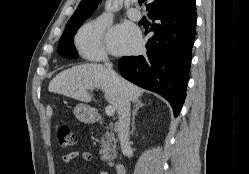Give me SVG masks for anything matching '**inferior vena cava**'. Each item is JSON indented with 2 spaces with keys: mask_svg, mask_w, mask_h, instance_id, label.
<instances>
[{
  "mask_svg": "<svg viewBox=\"0 0 249 174\" xmlns=\"http://www.w3.org/2000/svg\"><path fill=\"white\" fill-rule=\"evenodd\" d=\"M104 65L110 72L113 82L118 88L119 105L117 110L118 111L117 131H118V138L120 140L122 152L124 155H126L130 149L129 145L130 102L123 91L118 76L112 69L113 67L112 63H110L108 59H104Z\"/></svg>",
  "mask_w": 249,
  "mask_h": 174,
  "instance_id": "inferior-vena-cava-1",
  "label": "inferior vena cava"
}]
</instances>
